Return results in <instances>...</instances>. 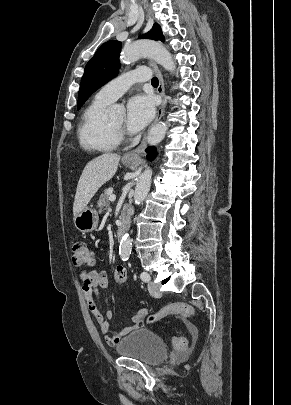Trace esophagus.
Returning a JSON list of instances; mask_svg holds the SVG:
<instances>
[{
  "label": "esophagus",
  "mask_w": 291,
  "mask_h": 405,
  "mask_svg": "<svg viewBox=\"0 0 291 405\" xmlns=\"http://www.w3.org/2000/svg\"><path fill=\"white\" fill-rule=\"evenodd\" d=\"M149 66L153 69L154 73L156 74V76L158 77V87H157V93L160 95L161 97V105L159 107V110L157 112V116L154 120V123H157L161 117L163 116L165 107H166V97H165V84H164V79H163V75L160 71V69L158 68V66L153 62V61H148ZM146 139L147 137L145 136L141 142V144L134 150L127 152L124 155V159H128V160H133V159H138L139 155L145 150L146 148Z\"/></svg>",
  "instance_id": "34e87169"
}]
</instances>
